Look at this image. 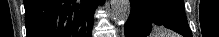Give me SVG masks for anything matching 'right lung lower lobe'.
I'll return each mask as SVG.
<instances>
[{
  "label": "right lung lower lobe",
  "instance_id": "obj_1",
  "mask_svg": "<svg viewBox=\"0 0 219 37\" xmlns=\"http://www.w3.org/2000/svg\"><path fill=\"white\" fill-rule=\"evenodd\" d=\"M104 0H24L27 37H92Z\"/></svg>",
  "mask_w": 219,
  "mask_h": 37
}]
</instances>
